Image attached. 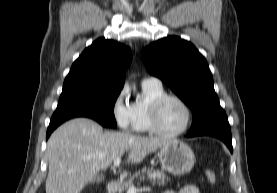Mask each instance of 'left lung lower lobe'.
Segmentation results:
<instances>
[{"label":"left lung lower lobe","mask_w":277,"mask_h":193,"mask_svg":"<svg viewBox=\"0 0 277 193\" xmlns=\"http://www.w3.org/2000/svg\"><path fill=\"white\" fill-rule=\"evenodd\" d=\"M187 137L213 136L222 140L233 152L231 130L227 116L215 118L206 124L191 130Z\"/></svg>","instance_id":"1"}]
</instances>
